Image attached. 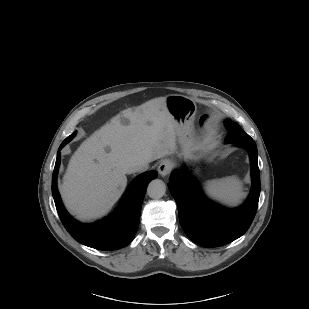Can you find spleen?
I'll return each mask as SVG.
<instances>
[{"label":"spleen","mask_w":309,"mask_h":309,"mask_svg":"<svg viewBox=\"0 0 309 309\" xmlns=\"http://www.w3.org/2000/svg\"><path fill=\"white\" fill-rule=\"evenodd\" d=\"M204 189L210 198L229 206L239 204L244 197L242 184L234 177L208 181Z\"/></svg>","instance_id":"spleen-1"}]
</instances>
